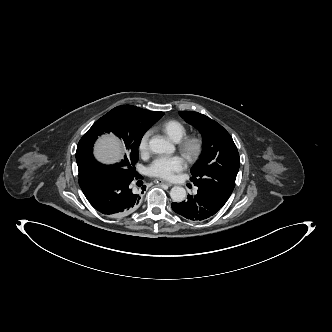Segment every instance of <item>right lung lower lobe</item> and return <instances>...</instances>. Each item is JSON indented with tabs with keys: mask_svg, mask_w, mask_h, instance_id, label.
<instances>
[{
	"mask_svg": "<svg viewBox=\"0 0 332 332\" xmlns=\"http://www.w3.org/2000/svg\"><path fill=\"white\" fill-rule=\"evenodd\" d=\"M135 175L127 176L111 167L95 166L79 176V185L90 204L102 214L121 217L135 211L142 198L141 192L130 187Z\"/></svg>",
	"mask_w": 332,
	"mask_h": 332,
	"instance_id": "1",
	"label": "right lung lower lobe"
}]
</instances>
